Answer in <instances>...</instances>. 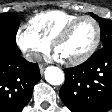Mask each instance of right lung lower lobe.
Returning <instances> with one entry per match:
<instances>
[{"label": "right lung lower lobe", "instance_id": "1", "mask_svg": "<svg viewBox=\"0 0 112 112\" xmlns=\"http://www.w3.org/2000/svg\"><path fill=\"white\" fill-rule=\"evenodd\" d=\"M20 51L0 49V112H22L41 75Z\"/></svg>", "mask_w": 112, "mask_h": 112}]
</instances>
